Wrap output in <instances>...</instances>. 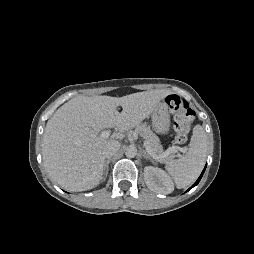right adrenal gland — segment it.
Returning <instances> with one entry per match:
<instances>
[{"label": "right adrenal gland", "instance_id": "2a0ac1e0", "mask_svg": "<svg viewBox=\"0 0 254 254\" xmlns=\"http://www.w3.org/2000/svg\"><path fill=\"white\" fill-rule=\"evenodd\" d=\"M111 162V159H108L106 162H105V165H104V174H105V177H107L108 175V171H109V163Z\"/></svg>", "mask_w": 254, "mask_h": 254}]
</instances>
